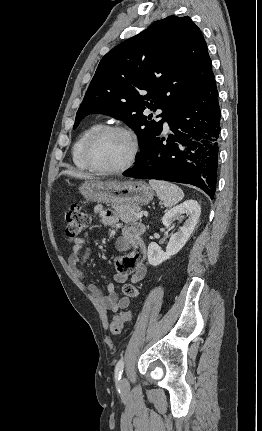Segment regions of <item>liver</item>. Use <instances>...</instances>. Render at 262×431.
Returning <instances> with one entry per match:
<instances>
[{"label":"liver","instance_id":"6515ba94","mask_svg":"<svg viewBox=\"0 0 262 431\" xmlns=\"http://www.w3.org/2000/svg\"><path fill=\"white\" fill-rule=\"evenodd\" d=\"M60 175H68V176H72V177L79 178V179H92L93 178L89 174L80 173V172H76L73 170H64L59 174V176Z\"/></svg>","mask_w":262,"mask_h":431}]
</instances>
